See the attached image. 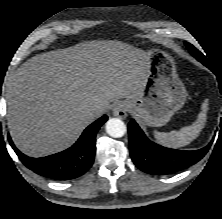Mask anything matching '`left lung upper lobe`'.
I'll list each match as a JSON object with an SVG mask.
<instances>
[{
    "label": "left lung upper lobe",
    "instance_id": "obj_1",
    "mask_svg": "<svg viewBox=\"0 0 222 219\" xmlns=\"http://www.w3.org/2000/svg\"><path fill=\"white\" fill-rule=\"evenodd\" d=\"M186 47L188 48V50L190 51L191 54L194 53H198L199 55H203L201 52H199L193 45H191L190 43L186 42L185 43ZM204 56V55H203Z\"/></svg>",
    "mask_w": 222,
    "mask_h": 219
}]
</instances>
